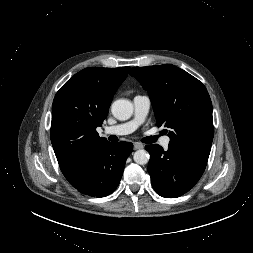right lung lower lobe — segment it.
I'll use <instances>...</instances> for the list:
<instances>
[{
  "label": "right lung lower lobe",
  "instance_id": "right-lung-lower-lobe-1",
  "mask_svg": "<svg viewBox=\"0 0 253 253\" xmlns=\"http://www.w3.org/2000/svg\"><path fill=\"white\" fill-rule=\"evenodd\" d=\"M133 150L130 142L98 145L81 166L66 179L80 193L104 197L116 190L121 180L125 162Z\"/></svg>",
  "mask_w": 253,
  "mask_h": 253
}]
</instances>
